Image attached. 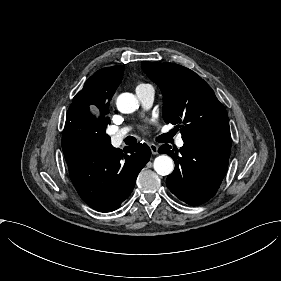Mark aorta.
<instances>
[{
  "mask_svg": "<svg viewBox=\"0 0 281 281\" xmlns=\"http://www.w3.org/2000/svg\"><path fill=\"white\" fill-rule=\"evenodd\" d=\"M116 105L118 110L125 114L133 113L139 107L137 97L128 92L118 96ZM153 166L154 170L162 176L169 175L174 170L172 158L164 154L155 158Z\"/></svg>",
  "mask_w": 281,
  "mask_h": 281,
  "instance_id": "762f6f07",
  "label": "aorta"
}]
</instances>
